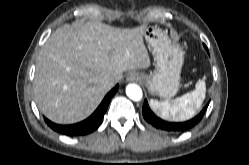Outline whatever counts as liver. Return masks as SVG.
Masks as SVG:
<instances>
[{
  "mask_svg": "<svg viewBox=\"0 0 249 165\" xmlns=\"http://www.w3.org/2000/svg\"><path fill=\"white\" fill-rule=\"evenodd\" d=\"M146 26L111 27L99 21L65 24L41 48L35 70L34 99L48 119L73 124L90 116L123 72L150 67L143 41Z\"/></svg>",
  "mask_w": 249,
  "mask_h": 165,
  "instance_id": "obj_1",
  "label": "liver"
}]
</instances>
